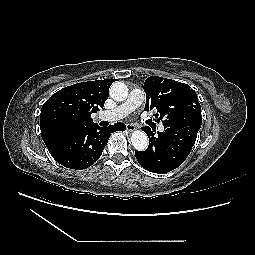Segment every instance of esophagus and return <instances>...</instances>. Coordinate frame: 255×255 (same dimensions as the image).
<instances>
[{"instance_id": "34e87169", "label": "esophagus", "mask_w": 255, "mask_h": 255, "mask_svg": "<svg viewBox=\"0 0 255 255\" xmlns=\"http://www.w3.org/2000/svg\"><path fill=\"white\" fill-rule=\"evenodd\" d=\"M126 129H127V131L132 132L133 130L136 129V126L134 124L128 123V124H126Z\"/></svg>"}]
</instances>
